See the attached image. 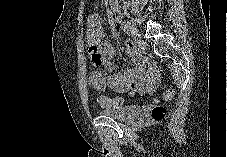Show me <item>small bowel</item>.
Masks as SVG:
<instances>
[{
  "instance_id": "obj_1",
  "label": "small bowel",
  "mask_w": 227,
  "mask_h": 157,
  "mask_svg": "<svg viewBox=\"0 0 227 157\" xmlns=\"http://www.w3.org/2000/svg\"><path fill=\"white\" fill-rule=\"evenodd\" d=\"M87 41L90 62H101L98 65H102L107 71V74L97 73L102 84V90L109 87L120 93L135 91L146 93L156 86L158 81L156 69L145 64L131 42L126 44V53L132 62V66L124 71L115 70L113 59L116 56V51L113 45L105 40L101 19L97 14H92L88 18Z\"/></svg>"
}]
</instances>
